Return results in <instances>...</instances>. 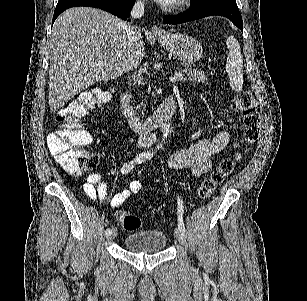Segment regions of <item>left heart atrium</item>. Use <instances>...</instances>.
<instances>
[{
    "mask_svg": "<svg viewBox=\"0 0 307 301\" xmlns=\"http://www.w3.org/2000/svg\"><path fill=\"white\" fill-rule=\"evenodd\" d=\"M178 0H159L160 4H177ZM123 62H136V61H123Z\"/></svg>",
    "mask_w": 307,
    "mask_h": 301,
    "instance_id": "obj_1",
    "label": "left heart atrium"
}]
</instances>
